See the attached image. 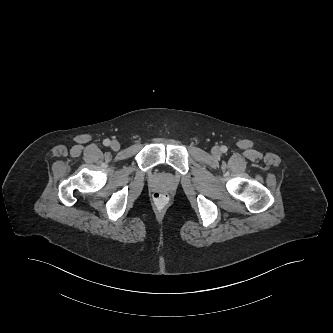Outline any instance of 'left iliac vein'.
I'll return each mask as SVG.
<instances>
[{
    "label": "left iliac vein",
    "instance_id": "1",
    "mask_svg": "<svg viewBox=\"0 0 333 333\" xmlns=\"http://www.w3.org/2000/svg\"><path fill=\"white\" fill-rule=\"evenodd\" d=\"M212 154L214 155V156H220V154H221V150H220V148L218 147V146H214L213 148H212Z\"/></svg>",
    "mask_w": 333,
    "mask_h": 333
}]
</instances>
